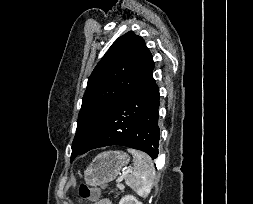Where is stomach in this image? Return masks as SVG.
<instances>
[{
  "label": "stomach",
  "instance_id": "0dacf381",
  "mask_svg": "<svg viewBox=\"0 0 253 204\" xmlns=\"http://www.w3.org/2000/svg\"><path fill=\"white\" fill-rule=\"evenodd\" d=\"M129 161V156L123 151L100 153L84 171V180L92 187L107 184L117 178Z\"/></svg>",
  "mask_w": 253,
  "mask_h": 204
}]
</instances>
